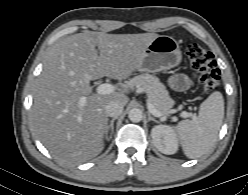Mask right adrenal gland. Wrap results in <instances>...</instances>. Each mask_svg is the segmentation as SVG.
Listing matches in <instances>:
<instances>
[{
	"mask_svg": "<svg viewBox=\"0 0 248 195\" xmlns=\"http://www.w3.org/2000/svg\"><path fill=\"white\" fill-rule=\"evenodd\" d=\"M116 119H117L116 117L113 118V119L109 122V124L106 126V131H107V133L110 131V136H109L108 140H110V139L112 138V134H113V132H114V121H115Z\"/></svg>",
	"mask_w": 248,
	"mask_h": 195,
	"instance_id": "2a0ac1e0",
	"label": "right adrenal gland"
}]
</instances>
